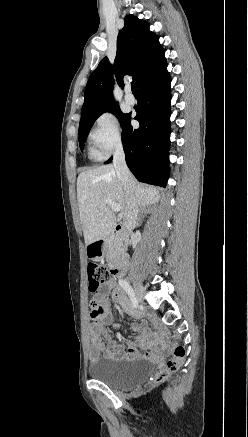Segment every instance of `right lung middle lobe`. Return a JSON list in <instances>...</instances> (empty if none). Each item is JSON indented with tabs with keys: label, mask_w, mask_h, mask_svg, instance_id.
<instances>
[{
	"label": "right lung middle lobe",
	"mask_w": 248,
	"mask_h": 437,
	"mask_svg": "<svg viewBox=\"0 0 248 437\" xmlns=\"http://www.w3.org/2000/svg\"><path fill=\"white\" fill-rule=\"evenodd\" d=\"M112 112L114 113L117 118L120 120L121 126L123 128V126L125 125V123L127 122L130 114H124L120 111L118 106L112 107L111 109H108L104 112ZM102 112V113H104ZM96 114L93 116H89L87 118H85L84 120L80 121L79 123V132H78V140L80 143V148L81 150H83V146H84V142L88 136L89 130L91 128V126L93 125L94 121L102 114Z\"/></svg>",
	"instance_id": "right-lung-middle-lobe-1"
}]
</instances>
